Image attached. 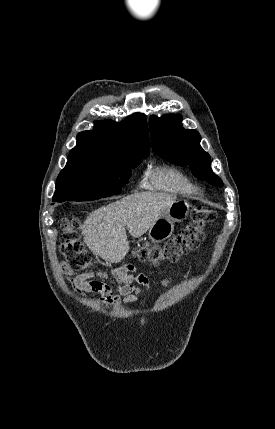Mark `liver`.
<instances>
[{
  "label": "liver",
  "mask_w": 275,
  "mask_h": 429,
  "mask_svg": "<svg viewBox=\"0 0 275 429\" xmlns=\"http://www.w3.org/2000/svg\"><path fill=\"white\" fill-rule=\"evenodd\" d=\"M175 199L172 194L142 192L98 208L81 226L84 242L96 255L118 263L130 249L125 227L133 237L142 236Z\"/></svg>",
  "instance_id": "1"
}]
</instances>
